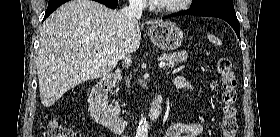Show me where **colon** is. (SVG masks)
<instances>
[{"label": "colon", "instance_id": "5ec220e1", "mask_svg": "<svg viewBox=\"0 0 280 137\" xmlns=\"http://www.w3.org/2000/svg\"><path fill=\"white\" fill-rule=\"evenodd\" d=\"M217 72L222 82V120L221 131L223 137H235L237 124V79L233 71L231 61L226 57H221L217 63ZM49 137H73V132L61 123L51 120L47 124Z\"/></svg>", "mask_w": 280, "mask_h": 137}]
</instances>
